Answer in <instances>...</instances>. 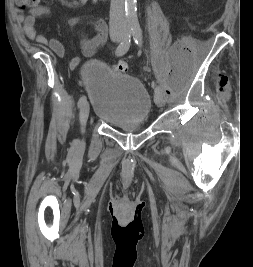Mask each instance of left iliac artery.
<instances>
[{"mask_svg": "<svg viewBox=\"0 0 253 267\" xmlns=\"http://www.w3.org/2000/svg\"><path fill=\"white\" fill-rule=\"evenodd\" d=\"M133 39H134V42L138 45V46H142V30L141 28L138 26V27H135L133 29ZM152 87L155 91V93H162L163 90L158 87L154 82L152 83Z\"/></svg>", "mask_w": 253, "mask_h": 267, "instance_id": "44dca946", "label": "left iliac artery"}]
</instances>
